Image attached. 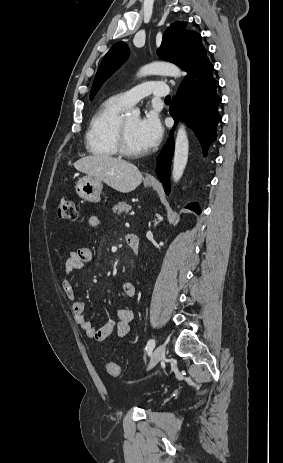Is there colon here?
<instances>
[{
  "mask_svg": "<svg viewBox=\"0 0 283 463\" xmlns=\"http://www.w3.org/2000/svg\"><path fill=\"white\" fill-rule=\"evenodd\" d=\"M58 216L62 220H76L77 211L75 203L70 198H62L59 208ZM106 371L110 376L119 377L121 375L120 366L112 361H108L105 365Z\"/></svg>",
  "mask_w": 283,
  "mask_h": 463,
  "instance_id": "colon-1",
  "label": "colon"
}]
</instances>
